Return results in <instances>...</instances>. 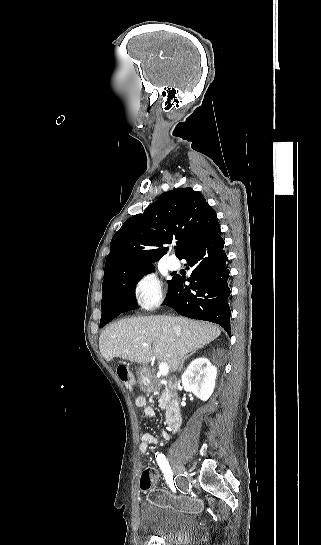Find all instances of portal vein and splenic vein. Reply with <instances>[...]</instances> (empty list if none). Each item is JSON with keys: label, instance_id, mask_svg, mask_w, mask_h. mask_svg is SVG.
Instances as JSON below:
<instances>
[{"label": "portal vein and splenic vein", "instance_id": "18ae733b", "mask_svg": "<svg viewBox=\"0 0 321 545\" xmlns=\"http://www.w3.org/2000/svg\"><path fill=\"white\" fill-rule=\"evenodd\" d=\"M142 347H147V343H143ZM159 371L161 375H168L169 373L168 365H166V363H160Z\"/></svg>", "mask_w": 321, "mask_h": 545}]
</instances>
